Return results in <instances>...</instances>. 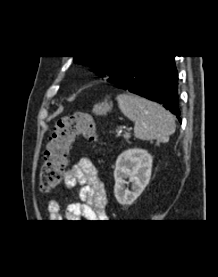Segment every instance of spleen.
I'll return each mask as SVG.
<instances>
[{
    "label": "spleen",
    "mask_w": 218,
    "mask_h": 277,
    "mask_svg": "<svg viewBox=\"0 0 218 277\" xmlns=\"http://www.w3.org/2000/svg\"><path fill=\"white\" fill-rule=\"evenodd\" d=\"M116 99L121 112L135 123L138 139L165 142L175 132L174 117L162 106L132 94H120Z\"/></svg>",
    "instance_id": "3e777b00"
}]
</instances>
